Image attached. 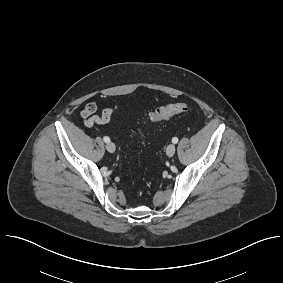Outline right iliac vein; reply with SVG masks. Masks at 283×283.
I'll list each match as a JSON object with an SVG mask.
<instances>
[{"label":"right iliac vein","mask_w":283,"mask_h":283,"mask_svg":"<svg viewBox=\"0 0 283 283\" xmlns=\"http://www.w3.org/2000/svg\"><path fill=\"white\" fill-rule=\"evenodd\" d=\"M106 149H107L108 152L114 153L115 150H116L115 144L113 142H108L106 144Z\"/></svg>","instance_id":"right-iliac-vein-1"}]
</instances>
